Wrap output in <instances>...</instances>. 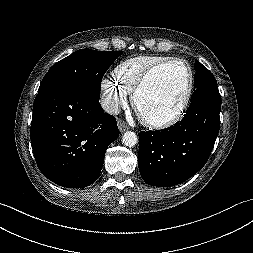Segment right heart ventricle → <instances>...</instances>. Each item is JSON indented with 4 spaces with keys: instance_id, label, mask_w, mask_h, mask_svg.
Segmentation results:
<instances>
[{
    "instance_id": "e07e8e85",
    "label": "right heart ventricle",
    "mask_w": 253,
    "mask_h": 253,
    "mask_svg": "<svg viewBox=\"0 0 253 253\" xmlns=\"http://www.w3.org/2000/svg\"><path fill=\"white\" fill-rule=\"evenodd\" d=\"M169 59L171 58L154 54L128 58L115 67L114 82L127 94H131L140 78L150 67Z\"/></svg>"
}]
</instances>
